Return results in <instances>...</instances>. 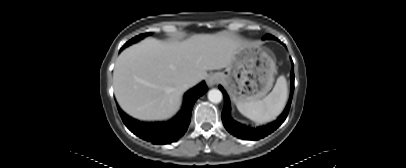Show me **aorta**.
<instances>
[{
  "label": "aorta",
  "mask_w": 406,
  "mask_h": 168,
  "mask_svg": "<svg viewBox=\"0 0 406 168\" xmlns=\"http://www.w3.org/2000/svg\"><path fill=\"white\" fill-rule=\"evenodd\" d=\"M223 95L222 92L219 89H211L208 92V99L212 103H220L222 101Z\"/></svg>",
  "instance_id": "762f6f07"
}]
</instances>
